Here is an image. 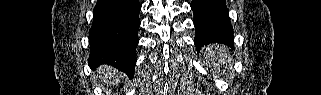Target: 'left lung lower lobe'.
I'll use <instances>...</instances> for the list:
<instances>
[{
    "label": "left lung lower lobe",
    "instance_id": "1",
    "mask_svg": "<svg viewBox=\"0 0 321 95\" xmlns=\"http://www.w3.org/2000/svg\"><path fill=\"white\" fill-rule=\"evenodd\" d=\"M196 37L194 44L199 51L210 43L233 45V30L225 0H193Z\"/></svg>",
    "mask_w": 321,
    "mask_h": 95
}]
</instances>
